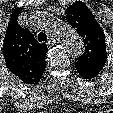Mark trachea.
I'll list each match as a JSON object with an SVG mask.
<instances>
[{
	"instance_id": "obj_1",
	"label": "trachea",
	"mask_w": 113,
	"mask_h": 113,
	"mask_svg": "<svg viewBox=\"0 0 113 113\" xmlns=\"http://www.w3.org/2000/svg\"><path fill=\"white\" fill-rule=\"evenodd\" d=\"M38 40L40 41V42H42V41H44V42H46L48 39H47V35L45 34V33H43V32H40L39 34H38Z\"/></svg>"
}]
</instances>
